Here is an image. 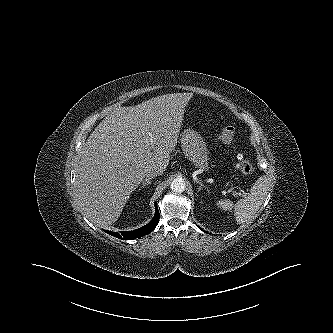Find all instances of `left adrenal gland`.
<instances>
[{
    "instance_id": "a2214340",
    "label": "left adrenal gland",
    "mask_w": 333,
    "mask_h": 333,
    "mask_svg": "<svg viewBox=\"0 0 333 333\" xmlns=\"http://www.w3.org/2000/svg\"><path fill=\"white\" fill-rule=\"evenodd\" d=\"M197 184L199 185L198 192H199L202 188H205L207 191H209L208 188H207V187H206L201 181H197Z\"/></svg>"
}]
</instances>
